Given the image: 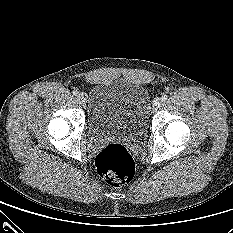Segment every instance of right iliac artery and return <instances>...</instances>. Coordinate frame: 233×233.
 <instances>
[{"mask_svg":"<svg viewBox=\"0 0 233 233\" xmlns=\"http://www.w3.org/2000/svg\"><path fill=\"white\" fill-rule=\"evenodd\" d=\"M72 93H73L74 96H78V94H79V92L77 90H73Z\"/></svg>","mask_w":233,"mask_h":233,"instance_id":"right-iliac-artery-1","label":"right iliac artery"}]
</instances>
